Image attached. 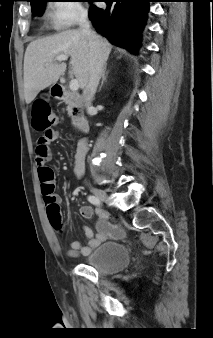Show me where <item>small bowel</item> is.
<instances>
[{
  "mask_svg": "<svg viewBox=\"0 0 213 338\" xmlns=\"http://www.w3.org/2000/svg\"><path fill=\"white\" fill-rule=\"evenodd\" d=\"M58 138L57 132H53L49 136H41L38 139L36 151H35V160L39 168L48 167L47 164L51 159V144ZM88 151L87 142L85 139L79 141L74 156V170L77 175H82L85 167V159ZM62 201V198L58 195L54 196V201L52 204L48 205L46 208L47 216L49 219L50 210L52 208H57L59 210V205ZM93 213V209L89 206L81 208V214L84 217H90ZM96 214L99 217V222L97 223V233L94 234L93 230L85 226L83 228L85 236L87 237V244L82 245L80 241H73L69 248L67 249V255L69 257H78L80 255L88 254L94 247L100 244L108 237H115L122 234V231L118 228H113L106 220V213L103 210H97ZM62 226L60 223L55 228L59 229Z\"/></svg>",
  "mask_w": 213,
  "mask_h": 338,
  "instance_id": "obj_1",
  "label": "small bowel"
}]
</instances>
